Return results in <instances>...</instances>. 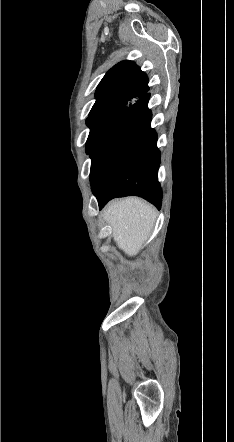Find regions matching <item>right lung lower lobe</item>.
I'll return each instance as SVG.
<instances>
[{
  "mask_svg": "<svg viewBox=\"0 0 234 442\" xmlns=\"http://www.w3.org/2000/svg\"><path fill=\"white\" fill-rule=\"evenodd\" d=\"M150 94L121 110L91 152L90 182L99 209L115 197L137 195L161 207L160 151L151 128Z\"/></svg>",
  "mask_w": 234,
  "mask_h": 442,
  "instance_id": "1",
  "label": "right lung lower lobe"
}]
</instances>
